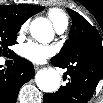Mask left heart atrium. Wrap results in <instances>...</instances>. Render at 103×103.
Segmentation results:
<instances>
[{
    "mask_svg": "<svg viewBox=\"0 0 103 103\" xmlns=\"http://www.w3.org/2000/svg\"><path fill=\"white\" fill-rule=\"evenodd\" d=\"M51 46L42 45L36 42H27L20 47L22 57L34 63H41L53 54Z\"/></svg>",
    "mask_w": 103,
    "mask_h": 103,
    "instance_id": "obj_1",
    "label": "left heart atrium"
}]
</instances>
